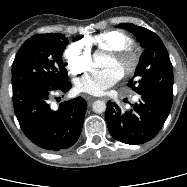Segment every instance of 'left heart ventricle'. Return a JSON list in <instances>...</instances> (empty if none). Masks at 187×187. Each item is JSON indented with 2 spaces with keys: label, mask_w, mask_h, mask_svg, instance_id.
Wrapping results in <instances>:
<instances>
[{
  "label": "left heart ventricle",
  "mask_w": 187,
  "mask_h": 187,
  "mask_svg": "<svg viewBox=\"0 0 187 187\" xmlns=\"http://www.w3.org/2000/svg\"><path fill=\"white\" fill-rule=\"evenodd\" d=\"M127 64H128L127 60H122V61L116 60L110 55L107 56L106 61L104 63L106 67L116 68L121 73L124 70V68L127 66Z\"/></svg>",
  "instance_id": "left-heart-ventricle-1"
}]
</instances>
